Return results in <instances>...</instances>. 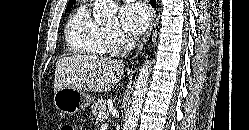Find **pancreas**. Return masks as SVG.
Wrapping results in <instances>:
<instances>
[{"instance_id": "pancreas-1", "label": "pancreas", "mask_w": 249, "mask_h": 130, "mask_svg": "<svg viewBox=\"0 0 249 130\" xmlns=\"http://www.w3.org/2000/svg\"><path fill=\"white\" fill-rule=\"evenodd\" d=\"M92 114L94 116H98L101 112L105 113L106 111V101L103 99H100L98 101H95L92 106Z\"/></svg>"}]
</instances>
